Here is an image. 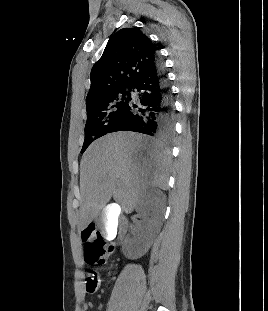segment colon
Returning a JSON list of instances; mask_svg holds the SVG:
<instances>
[{
	"instance_id": "5ec220e1",
	"label": "colon",
	"mask_w": 268,
	"mask_h": 311,
	"mask_svg": "<svg viewBox=\"0 0 268 311\" xmlns=\"http://www.w3.org/2000/svg\"><path fill=\"white\" fill-rule=\"evenodd\" d=\"M84 259L90 265H104L107 259L114 253L112 247H107L99 230L89 225L81 233ZM100 279L94 272L88 274L86 288L88 292H94L99 288Z\"/></svg>"
}]
</instances>
